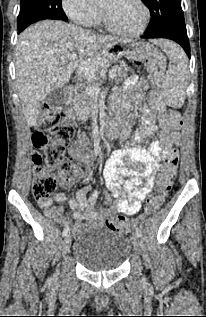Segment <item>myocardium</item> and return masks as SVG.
<instances>
[{"instance_id": "obj_1", "label": "myocardium", "mask_w": 206, "mask_h": 317, "mask_svg": "<svg viewBox=\"0 0 206 317\" xmlns=\"http://www.w3.org/2000/svg\"><path fill=\"white\" fill-rule=\"evenodd\" d=\"M135 2L141 7L143 11V21L139 28H137L134 31H123L118 28H116L109 20L105 10L100 7L101 17L104 23V26L108 31H110L113 34L122 36V37H135L141 35L147 28L149 21H150V10L146 3L143 0H135Z\"/></svg>"}]
</instances>
